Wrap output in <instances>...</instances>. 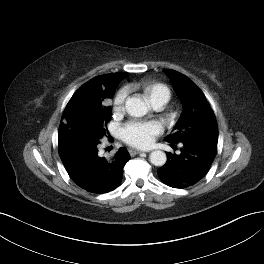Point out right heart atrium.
<instances>
[{"instance_id":"d8ad5b80","label":"right heart atrium","mask_w":264,"mask_h":264,"mask_svg":"<svg viewBox=\"0 0 264 264\" xmlns=\"http://www.w3.org/2000/svg\"><path fill=\"white\" fill-rule=\"evenodd\" d=\"M126 97H127V91L125 89H121L117 92V94L113 98V112L115 114L122 113V111L124 110Z\"/></svg>"}]
</instances>
